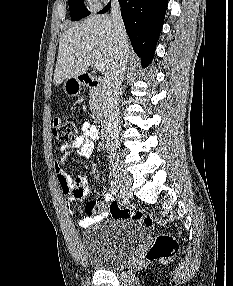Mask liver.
<instances>
[{
    "instance_id": "liver-1",
    "label": "liver",
    "mask_w": 233,
    "mask_h": 286,
    "mask_svg": "<svg viewBox=\"0 0 233 286\" xmlns=\"http://www.w3.org/2000/svg\"><path fill=\"white\" fill-rule=\"evenodd\" d=\"M125 38L128 43L126 33ZM94 49L101 53L107 70L115 53L112 16L92 15L64 31L59 41L54 84L58 86L64 80L84 74L91 64Z\"/></svg>"
}]
</instances>
